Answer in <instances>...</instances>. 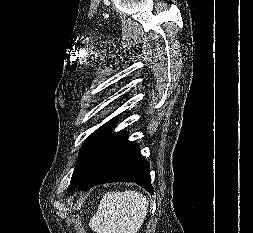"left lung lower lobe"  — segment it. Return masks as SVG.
<instances>
[{
    "instance_id": "obj_1",
    "label": "left lung lower lobe",
    "mask_w": 253,
    "mask_h": 233,
    "mask_svg": "<svg viewBox=\"0 0 253 233\" xmlns=\"http://www.w3.org/2000/svg\"><path fill=\"white\" fill-rule=\"evenodd\" d=\"M135 182L153 194L149 163L140 154L138 144L128 141V133L120 131L111 135L102 148L87 176L75 186L72 192L87 190L107 182Z\"/></svg>"
}]
</instances>
